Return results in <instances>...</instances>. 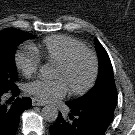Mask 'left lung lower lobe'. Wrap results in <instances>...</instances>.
<instances>
[{
	"label": "left lung lower lobe",
	"instance_id": "1",
	"mask_svg": "<svg viewBox=\"0 0 135 135\" xmlns=\"http://www.w3.org/2000/svg\"><path fill=\"white\" fill-rule=\"evenodd\" d=\"M70 109L68 118L59 113L54 125L50 126L51 135H104L116 107L112 102L74 105L67 102Z\"/></svg>",
	"mask_w": 135,
	"mask_h": 135
}]
</instances>
